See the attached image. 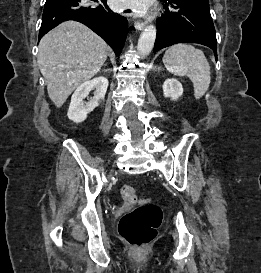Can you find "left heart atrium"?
I'll use <instances>...</instances> for the list:
<instances>
[{
	"instance_id": "left-heart-atrium-1",
	"label": "left heart atrium",
	"mask_w": 261,
	"mask_h": 273,
	"mask_svg": "<svg viewBox=\"0 0 261 273\" xmlns=\"http://www.w3.org/2000/svg\"><path fill=\"white\" fill-rule=\"evenodd\" d=\"M150 0H111L112 7L118 10L131 9L137 14L145 13Z\"/></svg>"
}]
</instances>
